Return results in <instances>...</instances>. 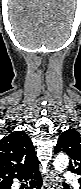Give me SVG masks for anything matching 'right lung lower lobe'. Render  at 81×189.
Instances as JSON below:
<instances>
[{
  "label": "right lung lower lobe",
  "instance_id": "1",
  "mask_svg": "<svg viewBox=\"0 0 81 189\" xmlns=\"http://www.w3.org/2000/svg\"><path fill=\"white\" fill-rule=\"evenodd\" d=\"M27 177H32L33 180L30 182V186L27 187L26 189H40L41 188V176L38 171V166L32 169L30 172L24 174L23 176L19 177V180L26 179ZM11 183L6 184V185H1L0 189H10L11 188Z\"/></svg>",
  "mask_w": 81,
  "mask_h": 189
}]
</instances>
